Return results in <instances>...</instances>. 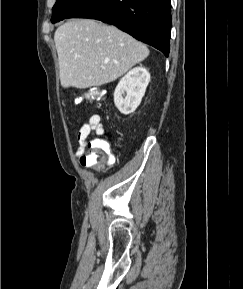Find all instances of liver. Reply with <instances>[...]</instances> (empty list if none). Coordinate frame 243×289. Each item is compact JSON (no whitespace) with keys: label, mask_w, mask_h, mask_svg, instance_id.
<instances>
[{"label":"liver","mask_w":243,"mask_h":289,"mask_svg":"<svg viewBox=\"0 0 243 289\" xmlns=\"http://www.w3.org/2000/svg\"><path fill=\"white\" fill-rule=\"evenodd\" d=\"M54 41L64 88L110 83L149 55L143 43L93 19H74L59 26Z\"/></svg>","instance_id":"obj_1"}]
</instances>
